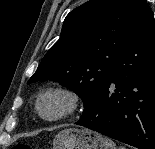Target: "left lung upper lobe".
<instances>
[{"label":"left lung upper lobe","mask_w":155,"mask_h":149,"mask_svg":"<svg viewBox=\"0 0 155 149\" xmlns=\"http://www.w3.org/2000/svg\"><path fill=\"white\" fill-rule=\"evenodd\" d=\"M151 13L146 0H90L65 18L60 39L28 84L53 80L76 92L85 108L109 77L115 59Z\"/></svg>","instance_id":"left-lung-upper-lobe-1"}]
</instances>
